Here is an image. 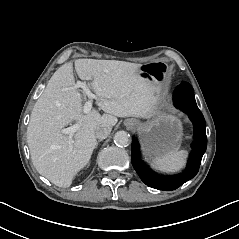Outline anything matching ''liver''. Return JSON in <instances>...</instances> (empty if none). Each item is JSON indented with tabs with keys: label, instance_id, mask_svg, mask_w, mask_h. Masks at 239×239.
<instances>
[{
	"label": "liver",
	"instance_id": "1",
	"mask_svg": "<svg viewBox=\"0 0 239 239\" xmlns=\"http://www.w3.org/2000/svg\"><path fill=\"white\" fill-rule=\"evenodd\" d=\"M75 70L90 84L96 104L105 112L83 113L82 97L75 87L73 64L65 63L50 78L35 103L27 127V143L34 167L58 187H69L97 146L95 130L113 127L117 117H151L160 101L161 83L141 76V64L117 60L77 59ZM76 121L72 139L61 129Z\"/></svg>",
	"mask_w": 239,
	"mask_h": 239
}]
</instances>
